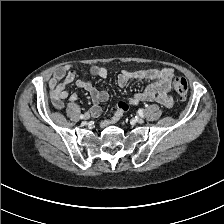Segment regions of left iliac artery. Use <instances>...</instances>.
<instances>
[{
	"instance_id": "left-iliac-artery-1",
	"label": "left iliac artery",
	"mask_w": 224,
	"mask_h": 224,
	"mask_svg": "<svg viewBox=\"0 0 224 224\" xmlns=\"http://www.w3.org/2000/svg\"><path fill=\"white\" fill-rule=\"evenodd\" d=\"M138 113H139V115H140L141 117H144V111H143V109H139V110H138Z\"/></svg>"
}]
</instances>
